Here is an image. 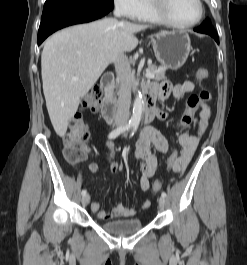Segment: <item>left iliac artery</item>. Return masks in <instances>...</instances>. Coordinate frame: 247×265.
<instances>
[{
    "label": "left iliac artery",
    "instance_id": "1",
    "mask_svg": "<svg viewBox=\"0 0 247 265\" xmlns=\"http://www.w3.org/2000/svg\"><path fill=\"white\" fill-rule=\"evenodd\" d=\"M136 130H137V125H134V126H133V129H132V132H131V136L134 135V133L136 132ZM161 196H162V197H166L167 195H166V193L163 191V192L161 193Z\"/></svg>",
    "mask_w": 247,
    "mask_h": 265
}]
</instances>
